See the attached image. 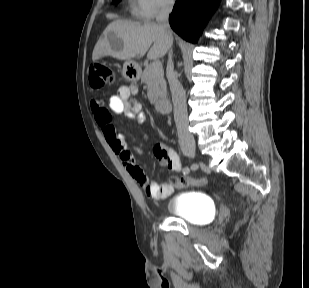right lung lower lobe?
<instances>
[{"instance_id":"right-lung-lower-lobe-1","label":"right lung lower lobe","mask_w":309,"mask_h":288,"mask_svg":"<svg viewBox=\"0 0 309 288\" xmlns=\"http://www.w3.org/2000/svg\"><path fill=\"white\" fill-rule=\"evenodd\" d=\"M219 0H176L171 17L172 29L189 42H196Z\"/></svg>"}]
</instances>
